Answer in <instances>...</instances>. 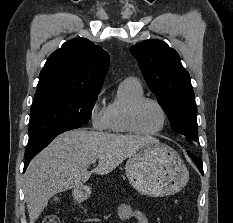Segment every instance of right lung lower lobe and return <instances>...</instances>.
Instances as JSON below:
<instances>
[{
  "instance_id": "98d812e1",
  "label": "right lung lower lobe",
  "mask_w": 233,
  "mask_h": 223,
  "mask_svg": "<svg viewBox=\"0 0 233 223\" xmlns=\"http://www.w3.org/2000/svg\"><path fill=\"white\" fill-rule=\"evenodd\" d=\"M74 129H75V128H74ZM70 130H72V129H70ZM67 131H68V130H67ZM64 132H65V131H64ZM62 133H63V132H62ZM39 152H40V151H39ZM37 153H38V152H37ZM37 153H34V154H31V155L25 156L26 165H25V167H24V172H25V170H26V168H27V166H28L30 160H31Z\"/></svg>"
}]
</instances>
